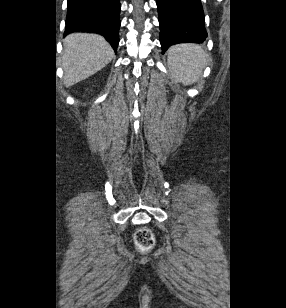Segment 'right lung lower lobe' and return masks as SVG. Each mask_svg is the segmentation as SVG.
<instances>
[{
  "label": "right lung lower lobe",
  "instance_id": "98d812e1",
  "mask_svg": "<svg viewBox=\"0 0 286 308\" xmlns=\"http://www.w3.org/2000/svg\"><path fill=\"white\" fill-rule=\"evenodd\" d=\"M120 8L119 0H68L64 36L75 31H92L104 36L116 51Z\"/></svg>",
  "mask_w": 286,
  "mask_h": 308
}]
</instances>
